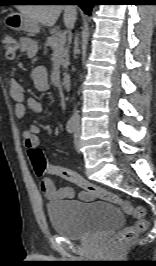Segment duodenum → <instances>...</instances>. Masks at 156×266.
I'll return each mask as SVG.
<instances>
[{"label":"duodenum","instance_id":"1","mask_svg":"<svg viewBox=\"0 0 156 266\" xmlns=\"http://www.w3.org/2000/svg\"><path fill=\"white\" fill-rule=\"evenodd\" d=\"M61 82L65 88H69L71 86V76L70 74H64L62 76Z\"/></svg>","mask_w":156,"mask_h":266}]
</instances>
